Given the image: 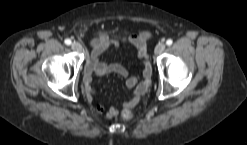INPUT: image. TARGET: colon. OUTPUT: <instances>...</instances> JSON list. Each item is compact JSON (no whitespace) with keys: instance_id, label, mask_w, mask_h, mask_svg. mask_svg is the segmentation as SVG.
I'll return each mask as SVG.
<instances>
[{"instance_id":"5ec220e1","label":"colon","mask_w":247,"mask_h":145,"mask_svg":"<svg viewBox=\"0 0 247 145\" xmlns=\"http://www.w3.org/2000/svg\"><path fill=\"white\" fill-rule=\"evenodd\" d=\"M120 116L124 120H131L134 117V113L131 109L124 108L121 110Z\"/></svg>"}]
</instances>
